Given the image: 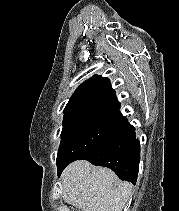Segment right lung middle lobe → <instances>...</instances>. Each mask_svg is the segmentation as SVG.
<instances>
[{"label": "right lung middle lobe", "mask_w": 179, "mask_h": 211, "mask_svg": "<svg viewBox=\"0 0 179 211\" xmlns=\"http://www.w3.org/2000/svg\"><path fill=\"white\" fill-rule=\"evenodd\" d=\"M122 118L119 112H81L63 119L57 167L77 160L103 142Z\"/></svg>", "instance_id": "right-lung-middle-lobe-1"}]
</instances>
